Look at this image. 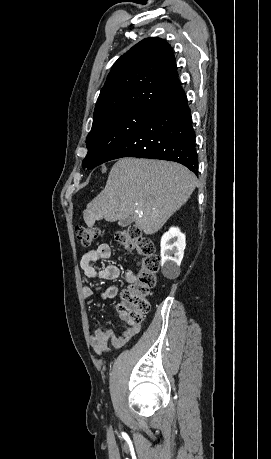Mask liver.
Instances as JSON below:
<instances>
[{
  "label": "liver",
  "mask_w": 271,
  "mask_h": 459,
  "mask_svg": "<svg viewBox=\"0 0 271 459\" xmlns=\"http://www.w3.org/2000/svg\"><path fill=\"white\" fill-rule=\"evenodd\" d=\"M196 176L177 162L120 158L107 184L84 210V222H116L134 216L144 233H155L193 194ZM137 210V212H135Z\"/></svg>",
  "instance_id": "liver-1"
}]
</instances>
